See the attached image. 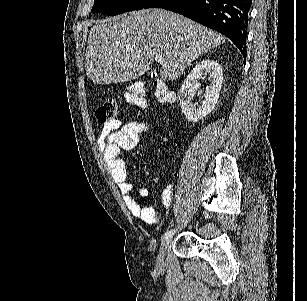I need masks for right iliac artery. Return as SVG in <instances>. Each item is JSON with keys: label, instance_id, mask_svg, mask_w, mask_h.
<instances>
[{"label": "right iliac artery", "instance_id": "right-iliac-artery-1", "mask_svg": "<svg viewBox=\"0 0 307 301\" xmlns=\"http://www.w3.org/2000/svg\"><path fill=\"white\" fill-rule=\"evenodd\" d=\"M175 231H176L175 229H172V230H170V231H167V232L163 235V238L171 237V236L174 234Z\"/></svg>", "mask_w": 307, "mask_h": 301}]
</instances>
